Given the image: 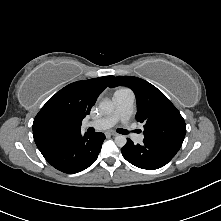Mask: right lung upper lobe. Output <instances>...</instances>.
I'll return each mask as SVG.
<instances>
[{"label":"right lung upper lobe","mask_w":221,"mask_h":221,"mask_svg":"<svg viewBox=\"0 0 221 221\" xmlns=\"http://www.w3.org/2000/svg\"><path fill=\"white\" fill-rule=\"evenodd\" d=\"M113 76L71 83L51 97L33 122L34 141L41 151L57 139L80 132L83 118L90 113L99 94L111 86Z\"/></svg>","instance_id":"obj_1"}]
</instances>
